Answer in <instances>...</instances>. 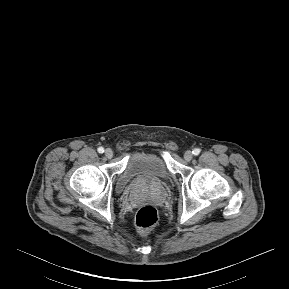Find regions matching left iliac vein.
<instances>
[{"label": "left iliac vein", "mask_w": 289, "mask_h": 289, "mask_svg": "<svg viewBox=\"0 0 289 289\" xmlns=\"http://www.w3.org/2000/svg\"><path fill=\"white\" fill-rule=\"evenodd\" d=\"M192 158H193V153L191 151L188 150L184 153V159L186 161H190L192 160Z\"/></svg>", "instance_id": "left-iliac-vein-1"}]
</instances>
